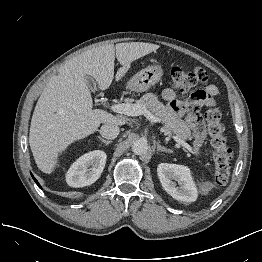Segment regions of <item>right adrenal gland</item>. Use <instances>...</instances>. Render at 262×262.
<instances>
[{
  "label": "right adrenal gland",
  "mask_w": 262,
  "mask_h": 262,
  "mask_svg": "<svg viewBox=\"0 0 262 262\" xmlns=\"http://www.w3.org/2000/svg\"><path fill=\"white\" fill-rule=\"evenodd\" d=\"M98 139H100L103 143H105L106 145L112 143V141H107L104 138H102L101 136H98Z\"/></svg>",
  "instance_id": "right-adrenal-gland-1"
}]
</instances>
